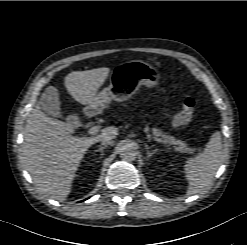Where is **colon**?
I'll use <instances>...</instances> for the list:
<instances>
[{"label":"colon","mask_w":247,"mask_h":245,"mask_svg":"<svg viewBox=\"0 0 247 245\" xmlns=\"http://www.w3.org/2000/svg\"><path fill=\"white\" fill-rule=\"evenodd\" d=\"M180 105L181 110L172 119L175 127L185 126L191 121L195 110V100L186 95L181 99Z\"/></svg>","instance_id":"obj_1"}]
</instances>
